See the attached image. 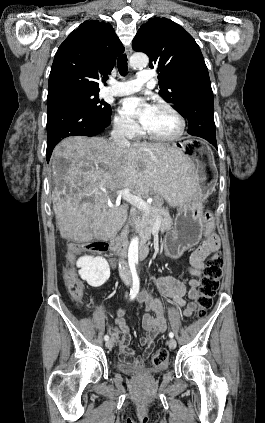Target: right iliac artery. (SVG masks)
Wrapping results in <instances>:
<instances>
[{"mask_svg": "<svg viewBox=\"0 0 265 423\" xmlns=\"http://www.w3.org/2000/svg\"><path fill=\"white\" fill-rule=\"evenodd\" d=\"M130 268H131V273H132V277H133V284H132V288L130 290V299L132 300L137 296V294L139 292L140 281H139V277L136 273L135 266L132 265ZM104 339L107 341L109 339V336L105 335Z\"/></svg>", "mask_w": 265, "mask_h": 423, "instance_id": "obj_1", "label": "right iliac artery"}]
</instances>
